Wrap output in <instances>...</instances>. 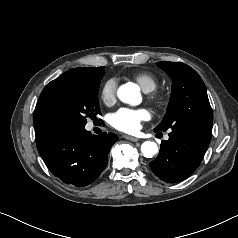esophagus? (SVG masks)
I'll return each instance as SVG.
<instances>
[{
	"label": "esophagus",
	"mask_w": 238,
	"mask_h": 238,
	"mask_svg": "<svg viewBox=\"0 0 238 238\" xmlns=\"http://www.w3.org/2000/svg\"><path fill=\"white\" fill-rule=\"evenodd\" d=\"M124 138L127 139V140H130V141H132V142H137V141H139L138 138L132 137V136H127V135H125Z\"/></svg>",
	"instance_id": "34e87169"
}]
</instances>
